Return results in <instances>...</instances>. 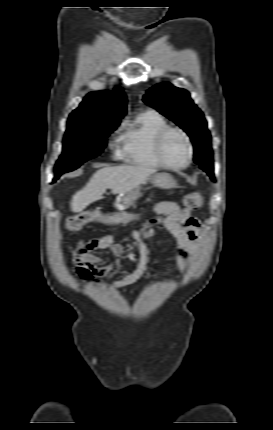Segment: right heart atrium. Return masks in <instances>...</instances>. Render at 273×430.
<instances>
[{
  "label": "right heart atrium",
  "mask_w": 273,
  "mask_h": 430,
  "mask_svg": "<svg viewBox=\"0 0 273 430\" xmlns=\"http://www.w3.org/2000/svg\"><path fill=\"white\" fill-rule=\"evenodd\" d=\"M122 137H114L110 142V148L114 155L119 156L122 154Z\"/></svg>",
  "instance_id": "1"
}]
</instances>
